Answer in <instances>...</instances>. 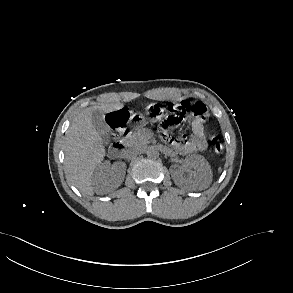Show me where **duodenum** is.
Here are the masks:
<instances>
[{"mask_svg": "<svg viewBox=\"0 0 293 293\" xmlns=\"http://www.w3.org/2000/svg\"><path fill=\"white\" fill-rule=\"evenodd\" d=\"M129 143V130L125 129L119 141L116 143V145L111 149L110 155L113 157H117L119 155H122L124 151L126 150Z\"/></svg>", "mask_w": 293, "mask_h": 293, "instance_id": "duodenum-1", "label": "duodenum"}]
</instances>
